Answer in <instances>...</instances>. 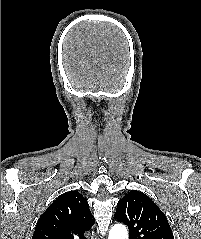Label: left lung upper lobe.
Returning a JSON list of instances; mask_svg holds the SVG:
<instances>
[{
	"label": "left lung upper lobe",
	"mask_w": 201,
	"mask_h": 239,
	"mask_svg": "<svg viewBox=\"0 0 201 239\" xmlns=\"http://www.w3.org/2000/svg\"><path fill=\"white\" fill-rule=\"evenodd\" d=\"M114 219L129 228V239H174L168 220L144 193L133 190L118 201Z\"/></svg>",
	"instance_id": "5c2ea615"
}]
</instances>
